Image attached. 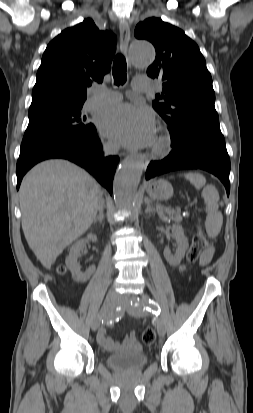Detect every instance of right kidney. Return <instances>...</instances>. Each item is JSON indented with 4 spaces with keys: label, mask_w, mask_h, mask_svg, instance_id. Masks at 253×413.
I'll list each match as a JSON object with an SVG mask.
<instances>
[{
    "label": "right kidney",
    "mask_w": 253,
    "mask_h": 413,
    "mask_svg": "<svg viewBox=\"0 0 253 413\" xmlns=\"http://www.w3.org/2000/svg\"><path fill=\"white\" fill-rule=\"evenodd\" d=\"M88 241L96 242V235L90 233L87 235L86 239H81L77 241L71 247L69 256L66 259V265L71 271L73 278L79 282L87 281L95 271V266H92L86 272H81V267L78 263V258L81 256V252Z\"/></svg>",
    "instance_id": "obj_1"
}]
</instances>
